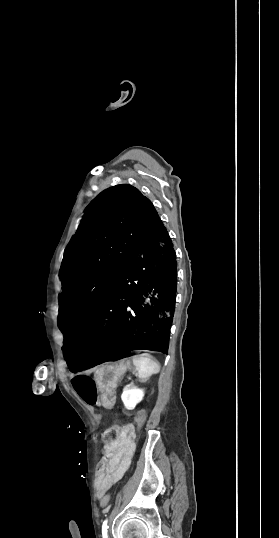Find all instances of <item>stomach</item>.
Segmentation results:
<instances>
[{"instance_id": "0dacf381", "label": "stomach", "mask_w": 279, "mask_h": 538, "mask_svg": "<svg viewBox=\"0 0 279 538\" xmlns=\"http://www.w3.org/2000/svg\"><path fill=\"white\" fill-rule=\"evenodd\" d=\"M125 372V360L123 358H115L113 363H99L96 369L98 379V395L101 397V405L105 409H109L113 405L116 398L114 391L115 386L112 382H118L119 374Z\"/></svg>"}]
</instances>
